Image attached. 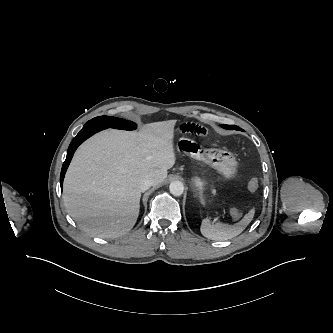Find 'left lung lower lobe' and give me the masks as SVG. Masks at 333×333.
I'll use <instances>...</instances> for the list:
<instances>
[{
    "label": "left lung lower lobe",
    "instance_id": "0a47b994",
    "mask_svg": "<svg viewBox=\"0 0 333 333\" xmlns=\"http://www.w3.org/2000/svg\"><path fill=\"white\" fill-rule=\"evenodd\" d=\"M231 128H233V127H231ZM235 129L243 131V130H242V129H240V128H235Z\"/></svg>",
    "mask_w": 333,
    "mask_h": 333
}]
</instances>
